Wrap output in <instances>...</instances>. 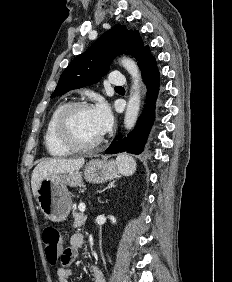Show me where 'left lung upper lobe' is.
I'll return each mask as SVG.
<instances>
[{
  "instance_id": "left-lung-upper-lobe-1",
  "label": "left lung upper lobe",
  "mask_w": 232,
  "mask_h": 282,
  "mask_svg": "<svg viewBox=\"0 0 232 282\" xmlns=\"http://www.w3.org/2000/svg\"><path fill=\"white\" fill-rule=\"evenodd\" d=\"M144 49L138 31L128 30L123 25L114 26L68 65L51 98L97 83L108 72L112 59L120 53L132 55L139 61Z\"/></svg>"
}]
</instances>
